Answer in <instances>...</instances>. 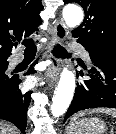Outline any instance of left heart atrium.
Returning <instances> with one entry per match:
<instances>
[{
    "label": "left heart atrium",
    "mask_w": 116,
    "mask_h": 134,
    "mask_svg": "<svg viewBox=\"0 0 116 134\" xmlns=\"http://www.w3.org/2000/svg\"><path fill=\"white\" fill-rule=\"evenodd\" d=\"M35 82H36V80L33 78L28 80L29 85H33Z\"/></svg>",
    "instance_id": "left-heart-atrium-1"
}]
</instances>
